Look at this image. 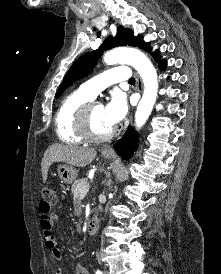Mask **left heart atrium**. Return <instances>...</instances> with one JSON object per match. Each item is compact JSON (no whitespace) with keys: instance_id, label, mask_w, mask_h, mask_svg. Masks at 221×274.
<instances>
[{"instance_id":"obj_1","label":"left heart atrium","mask_w":221,"mask_h":274,"mask_svg":"<svg viewBox=\"0 0 221 274\" xmlns=\"http://www.w3.org/2000/svg\"><path fill=\"white\" fill-rule=\"evenodd\" d=\"M127 103L122 95L116 94L104 107L105 125L112 129L119 124L127 114Z\"/></svg>"}]
</instances>
